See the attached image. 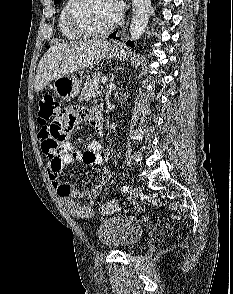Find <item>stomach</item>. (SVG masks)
Returning <instances> with one entry per match:
<instances>
[{
  "label": "stomach",
  "mask_w": 233,
  "mask_h": 294,
  "mask_svg": "<svg viewBox=\"0 0 233 294\" xmlns=\"http://www.w3.org/2000/svg\"><path fill=\"white\" fill-rule=\"evenodd\" d=\"M110 55L117 60H125L127 58V52L123 47L114 46L111 49ZM52 88L56 95L62 99L68 100L78 95L80 91V84L77 77L68 73L62 77L54 79Z\"/></svg>",
  "instance_id": "0dacf381"
}]
</instances>
